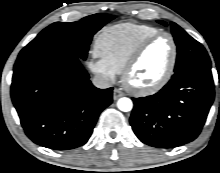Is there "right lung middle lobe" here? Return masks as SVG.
<instances>
[{
    "mask_svg": "<svg viewBox=\"0 0 220 173\" xmlns=\"http://www.w3.org/2000/svg\"><path fill=\"white\" fill-rule=\"evenodd\" d=\"M115 17L110 14H94L78 22H55L41 31L25 46L18 57L37 54L46 50L61 49L86 59L93 35Z\"/></svg>",
    "mask_w": 220,
    "mask_h": 173,
    "instance_id": "dd1d6c3e",
    "label": "right lung middle lobe"
}]
</instances>
